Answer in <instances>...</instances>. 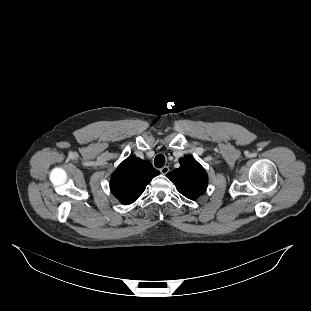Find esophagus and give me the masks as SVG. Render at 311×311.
<instances>
[{"instance_id":"esophagus-1","label":"esophagus","mask_w":311,"mask_h":311,"mask_svg":"<svg viewBox=\"0 0 311 311\" xmlns=\"http://www.w3.org/2000/svg\"><path fill=\"white\" fill-rule=\"evenodd\" d=\"M160 172L162 174H167L169 172V167L168 166H164L160 169Z\"/></svg>"}]
</instances>
